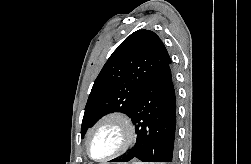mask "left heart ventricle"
Instances as JSON below:
<instances>
[{
  "mask_svg": "<svg viewBox=\"0 0 251 164\" xmlns=\"http://www.w3.org/2000/svg\"><path fill=\"white\" fill-rule=\"evenodd\" d=\"M123 138L120 127L112 122L98 128L90 140V152L95 158H102L119 148Z\"/></svg>",
  "mask_w": 251,
  "mask_h": 164,
  "instance_id": "1",
  "label": "left heart ventricle"
}]
</instances>
